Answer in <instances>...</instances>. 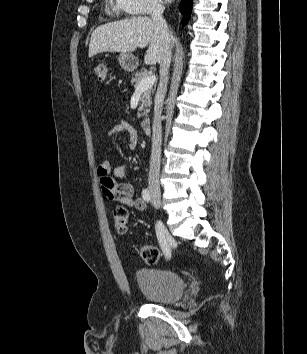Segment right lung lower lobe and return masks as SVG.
<instances>
[{
    "mask_svg": "<svg viewBox=\"0 0 307 354\" xmlns=\"http://www.w3.org/2000/svg\"><path fill=\"white\" fill-rule=\"evenodd\" d=\"M192 0H184L180 6V11L184 14L183 24L188 22V19L191 14Z\"/></svg>",
    "mask_w": 307,
    "mask_h": 354,
    "instance_id": "1",
    "label": "right lung lower lobe"
}]
</instances>
